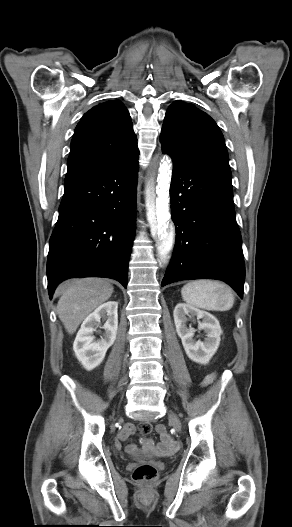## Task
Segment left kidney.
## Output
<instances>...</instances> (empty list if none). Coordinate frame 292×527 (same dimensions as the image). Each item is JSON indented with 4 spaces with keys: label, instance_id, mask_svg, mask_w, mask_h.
Instances as JSON below:
<instances>
[{
    "label": "left kidney",
    "instance_id": "1",
    "mask_svg": "<svg viewBox=\"0 0 292 527\" xmlns=\"http://www.w3.org/2000/svg\"><path fill=\"white\" fill-rule=\"evenodd\" d=\"M173 316L177 334L182 340L187 356L196 363L207 364L220 344L222 330L219 321L212 314L184 303L176 305ZM187 316H196L197 319H202L198 329L204 330L206 333L204 341L193 339L195 330L187 327Z\"/></svg>",
    "mask_w": 292,
    "mask_h": 527
}]
</instances>
